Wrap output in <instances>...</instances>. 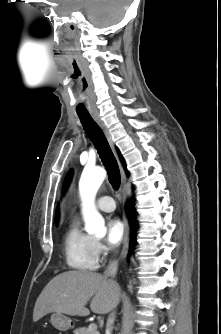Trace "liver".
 Listing matches in <instances>:
<instances>
[{"instance_id": "liver-1", "label": "liver", "mask_w": 221, "mask_h": 334, "mask_svg": "<svg viewBox=\"0 0 221 334\" xmlns=\"http://www.w3.org/2000/svg\"><path fill=\"white\" fill-rule=\"evenodd\" d=\"M120 296L119 285L105 276L88 271H66L55 276L39 295L33 321L37 322L48 313L57 312L70 316H87L90 310L107 314Z\"/></svg>"}]
</instances>
